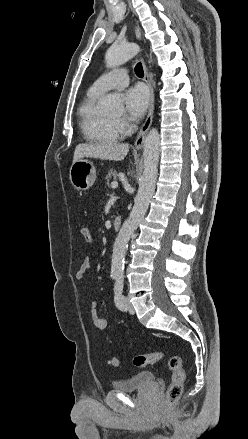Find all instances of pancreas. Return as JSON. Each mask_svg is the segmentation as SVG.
Masks as SVG:
<instances>
[{
    "mask_svg": "<svg viewBox=\"0 0 248 439\" xmlns=\"http://www.w3.org/2000/svg\"><path fill=\"white\" fill-rule=\"evenodd\" d=\"M116 178H117V172H116V170H114V169H110V170L108 171V174H107L106 177H105V182L108 184L110 179H114V180H116Z\"/></svg>",
    "mask_w": 248,
    "mask_h": 439,
    "instance_id": "cf45deb5",
    "label": "pancreas"
}]
</instances>
